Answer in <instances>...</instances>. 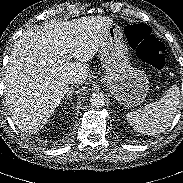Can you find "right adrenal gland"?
I'll return each instance as SVG.
<instances>
[{
  "instance_id": "2a0ac1e0",
  "label": "right adrenal gland",
  "mask_w": 183,
  "mask_h": 183,
  "mask_svg": "<svg viewBox=\"0 0 183 183\" xmlns=\"http://www.w3.org/2000/svg\"><path fill=\"white\" fill-rule=\"evenodd\" d=\"M73 92H74V87H70L69 90H68V92H67V95H66V97H65V100H66V101H67V100L71 101Z\"/></svg>"
}]
</instances>
